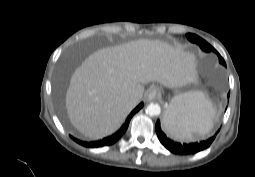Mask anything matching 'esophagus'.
I'll return each instance as SVG.
<instances>
[{"mask_svg":"<svg viewBox=\"0 0 255 177\" xmlns=\"http://www.w3.org/2000/svg\"><path fill=\"white\" fill-rule=\"evenodd\" d=\"M158 89L156 87H152L147 94V100L151 101L158 97Z\"/></svg>","mask_w":255,"mask_h":177,"instance_id":"34e87169","label":"esophagus"}]
</instances>
